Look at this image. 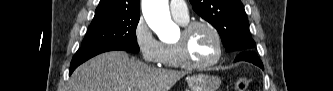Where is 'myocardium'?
I'll list each match as a JSON object with an SVG mask.
<instances>
[{
    "label": "myocardium",
    "mask_w": 333,
    "mask_h": 91,
    "mask_svg": "<svg viewBox=\"0 0 333 91\" xmlns=\"http://www.w3.org/2000/svg\"><path fill=\"white\" fill-rule=\"evenodd\" d=\"M197 27H205L211 31L214 35L216 44H217V52L216 55L202 63L193 62L189 57L188 52V39L190 34ZM176 51H177V59L181 66L189 69H206L215 64H217L223 56V39L219 30L210 22L205 20H193L183 24L181 38L175 43Z\"/></svg>",
    "instance_id": "myocardium-1"
}]
</instances>
